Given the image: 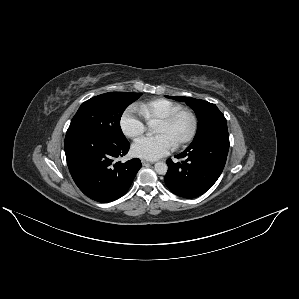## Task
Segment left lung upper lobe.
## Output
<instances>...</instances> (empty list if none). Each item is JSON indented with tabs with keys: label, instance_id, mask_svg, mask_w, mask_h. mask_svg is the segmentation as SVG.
I'll return each mask as SVG.
<instances>
[{
	"label": "left lung upper lobe",
	"instance_id": "1",
	"mask_svg": "<svg viewBox=\"0 0 299 299\" xmlns=\"http://www.w3.org/2000/svg\"><path fill=\"white\" fill-rule=\"evenodd\" d=\"M166 97L178 101H184L196 113L198 118V128L191 145L212 134L228 132L227 121L215 104L190 97Z\"/></svg>",
	"mask_w": 299,
	"mask_h": 299
}]
</instances>
